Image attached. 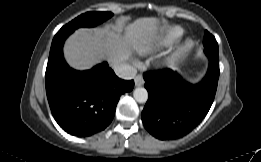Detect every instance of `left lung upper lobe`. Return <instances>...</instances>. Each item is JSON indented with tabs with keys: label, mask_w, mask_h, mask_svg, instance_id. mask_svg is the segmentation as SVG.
I'll use <instances>...</instances> for the list:
<instances>
[{
	"label": "left lung upper lobe",
	"mask_w": 261,
	"mask_h": 162,
	"mask_svg": "<svg viewBox=\"0 0 261 162\" xmlns=\"http://www.w3.org/2000/svg\"><path fill=\"white\" fill-rule=\"evenodd\" d=\"M203 43L206 46H209V47H212V48H218V44H217L216 39L208 31H205Z\"/></svg>",
	"instance_id": "1"
}]
</instances>
